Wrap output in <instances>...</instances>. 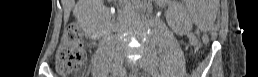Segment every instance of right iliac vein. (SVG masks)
<instances>
[{"label":"right iliac vein","mask_w":258,"mask_h":77,"mask_svg":"<svg viewBox=\"0 0 258 77\" xmlns=\"http://www.w3.org/2000/svg\"><path fill=\"white\" fill-rule=\"evenodd\" d=\"M123 71V55L118 54L115 56L113 61L112 73L118 75Z\"/></svg>","instance_id":"right-iliac-vein-1"}]
</instances>
